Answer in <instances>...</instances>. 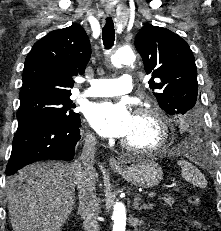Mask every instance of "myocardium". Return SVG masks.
Wrapping results in <instances>:
<instances>
[{"label":"myocardium","mask_w":221,"mask_h":231,"mask_svg":"<svg viewBox=\"0 0 221 231\" xmlns=\"http://www.w3.org/2000/svg\"><path fill=\"white\" fill-rule=\"evenodd\" d=\"M135 116L149 117L155 122L159 132L158 140L150 146H136L123 139L121 145L128 151L141 154H153L166 148L170 140V128L165 114L159 108L148 105L139 107Z\"/></svg>","instance_id":"obj_1"}]
</instances>
